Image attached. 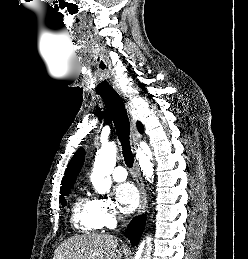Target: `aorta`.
I'll use <instances>...</instances> for the list:
<instances>
[{"label":"aorta","mask_w":248,"mask_h":259,"mask_svg":"<svg viewBox=\"0 0 248 259\" xmlns=\"http://www.w3.org/2000/svg\"><path fill=\"white\" fill-rule=\"evenodd\" d=\"M116 155L117 150L114 143H109L101 147L98 155L95 158L93 172L91 174V182L95 190L99 194H105L110 191L111 188V178L110 174L112 173L115 164H116ZM143 175L146 179L150 181L153 179V164L152 153L147 146H144L142 149L137 150L136 155ZM151 250L152 245L148 244L144 253L138 252L141 259H151Z\"/></svg>","instance_id":"obj_1"}]
</instances>
